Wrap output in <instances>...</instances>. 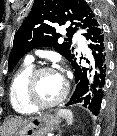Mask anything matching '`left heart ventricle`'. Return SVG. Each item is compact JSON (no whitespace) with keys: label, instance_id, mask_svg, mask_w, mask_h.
<instances>
[{"label":"left heart ventricle","instance_id":"left-heart-ventricle-1","mask_svg":"<svg viewBox=\"0 0 117 136\" xmlns=\"http://www.w3.org/2000/svg\"><path fill=\"white\" fill-rule=\"evenodd\" d=\"M64 89V82L60 74L45 72L41 74L36 83V97L41 103L56 100Z\"/></svg>","mask_w":117,"mask_h":136}]
</instances>
